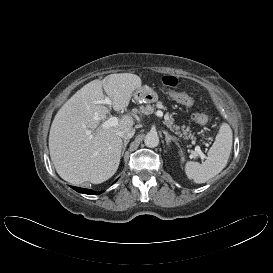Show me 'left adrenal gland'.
I'll return each instance as SVG.
<instances>
[{
    "instance_id": "1",
    "label": "left adrenal gland",
    "mask_w": 273,
    "mask_h": 273,
    "mask_svg": "<svg viewBox=\"0 0 273 273\" xmlns=\"http://www.w3.org/2000/svg\"><path fill=\"white\" fill-rule=\"evenodd\" d=\"M163 133L165 134V140H166L167 145H169L171 141H173L177 145V138L176 137L171 136L166 131H164Z\"/></svg>"
}]
</instances>
